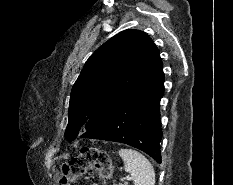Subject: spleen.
Listing matches in <instances>:
<instances>
[{"instance_id": "1", "label": "spleen", "mask_w": 233, "mask_h": 185, "mask_svg": "<svg viewBox=\"0 0 233 185\" xmlns=\"http://www.w3.org/2000/svg\"><path fill=\"white\" fill-rule=\"evenodd\" d=\"M119 156L124 162V169L131 173L134 185H155V171L149 160L140 152L122 148Z\"/></svg>"}]
</instances>
